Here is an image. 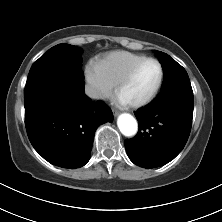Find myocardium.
Returning <instances> with one entry per match:
<instances>
[{
	"instance_id": "1",
	"label": "myocardium",
	"mask_w": 222,
	"mask_h": 222,
	"mask_svg": "<svg viewBox=\"0 0 222 222\" xmlns=\"http://www.w3.org/2000/svg\"><path fill=\"white\" fill-rule=\"evenodd\" d=\"M147 62H153L158 66V69H159L158 81L154 89L146 98L138 102L128 103V106L134 109H139V108L147 106L157 96L162 86L163 79H164V71H163V67L161 63L157 59H154V58H145L143 60H140L129 69V71L122 77V79L116 85V93L119 95L120 92L131 82V80L133 79L138 69Z\"/></svg>"
}]
</instances>
